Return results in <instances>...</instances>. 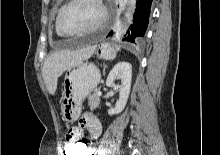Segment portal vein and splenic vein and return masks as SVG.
<instances>
[{
  "label": "portal vein and splenic vein",
  "instance_id": "portal-vein-and-splenic-vein-1",
  "mask_svg": "<svg viewBox=\"0 0 220 155\" xmlns=\"http://www.w3.org/2000/svg\"><path fill=\"white\" fill-rule=\"evenodd\" d=\"M97 95H98V96H100V95H101V92H100V91H98V92H97Z\"/></svg>",
  "mask_w": 220,
  "mask_h": 155
}]
</instances>
